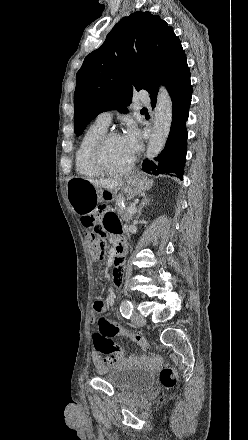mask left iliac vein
Here are the masks:
<instances>
[{
  "mask_svg": "<svg viewBox=\"0 0 248 440\" xmlns=\"http://www.w3.org/2000/svg\"><path fill=\"white\" fill-rule=\"evenodd\" d=\"M132 322L138 326H144L146 324V319L138 312H134L132 315Z\"/></svg>",
  "mask_w": 248,
  "mask_h": 440,
  "instance_id": "left-iliac-vein-1",
  "label": "left iliac vein"
}]
</instances>
